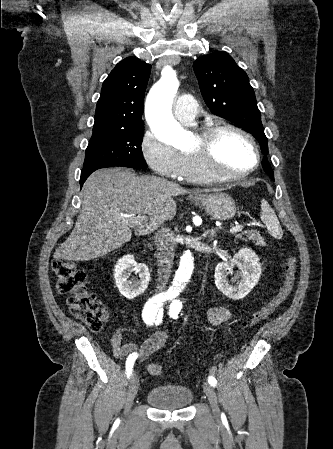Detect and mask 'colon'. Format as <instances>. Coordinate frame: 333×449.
<instances>
[{
  "label": "colon",
  "instance_id": "colon-1",
  "mask_svg": "<svg viewBox=\"0 0 333 449\" xmlns=\"http://www.w3.org/2000/svg\"><path fill=\"white\" fill-rule=\"evenodd\" d=\"M52 271L57 278V289L61 294L68 295V304L72 313L92 331L101 330L107 320L108 311L100 305L96 296L86 287V276L70 261L55 259ZM297 271V261L294 255H287L282 266L283 282L276 294L262 303V306L252 311L243 321L247 330L255 328L266 321L274 310L283 303L292 292ZM149 373L159 376L163 368L159 364H151Z\"/></svg>",
  "mask_w": 333,
  "mask_h": 449
}]
</instances>
